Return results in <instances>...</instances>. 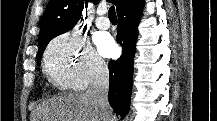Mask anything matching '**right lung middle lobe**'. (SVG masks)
<instances>
[{"label":"right lung middle lobe","mask_w":217,"mask_h":121,"mask_svg":"<svg viewBox=\"0 0 217 121\" xmlns=\"http://www.w3.org/2000/svg\"><path fill=\"white\" fill-rule=\"evenodd\" d=\"M46 46H47V44L38 50V53H37V60H38L39 63H40L41 56H42L43 51L45 50Z\"/></svg>","instance_id":"dd1d6c3e"}]
</instances>
